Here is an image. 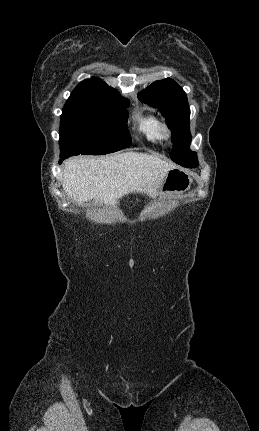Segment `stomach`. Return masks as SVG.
Here are the masks:
<instances>
[{
	"mask_svg": "<svg viewBox=\"0 0 259 431\" xmlns=\"http://www.w3.org/2000/svg\"><path fill=\"white\" fill-rule=\"evenodd\" d=\"M192 183V178L183 169L173 168L168 171L159 189L160 196L179 195L186 192Z\"/></svg>",
	"mask_w": 259,
	"mask_h": 431,
	"instance_id": "1",
	"label": "stomach"
}]
</instances>
